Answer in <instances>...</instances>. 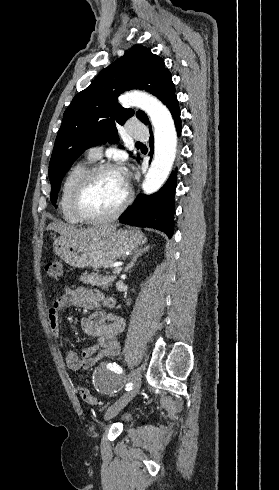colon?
<instances>
[{"instance_id": "1", "label": "colon", "mask_w": 279, "mask_h": 490, "mask_svg": "<svg viewBox=\"0 0 279 490\" xmlns=\"http://www.w3.org/2000/svg\"><path fill=\"white\" fill-rule=\"evenodd\" d=\"M45 273L50 277H53L55 279H60L63 276V264H62V262L60 260H54V261L48 262L45 266ZM79 394H80L82 401H84L88 405H91V406L99 405L96 395L94 394V392L90 388H88L86 386H80L79 387Z\"/></svg>"}]
</instances>
